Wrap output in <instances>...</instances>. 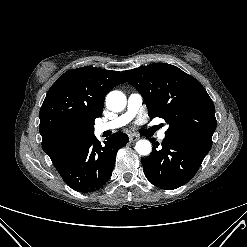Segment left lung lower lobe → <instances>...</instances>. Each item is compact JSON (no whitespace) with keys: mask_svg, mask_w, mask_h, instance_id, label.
Instances as JSON below:
<instances>
[{"mask_svg":"<svg viewBox=\"0 0 247 247\" xmlns=\"http://www.w3.org/2000/svg\"><path fill=\"white\" fill-rule=\"evenodd\" d=\"M151 141V139H150ZM154 144L151 154L142 159L147 179L157 187L166 190L176 189L189 182L198 171L208 150L193 143L165 137L162 148Z\"/></svg>","mask_w":247,"mask_h":247,"instance_id":"1","label":"left lung lower lobe"}]
</instances>
